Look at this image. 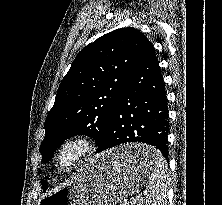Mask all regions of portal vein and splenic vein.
<instances>
[{"instance_id": "portal-vein-and-splenic-vein-1", "label": "portal vein and splenic vein", "mask_w": 222, "mask_h": 205, "mask_svg": "<svg viewBox=\"0 0 222 205\" xmlns=\"http://www.w3.org/2000/svg\"><path fill=\"white\" fill-rule=\"evenodd\" d=\"M136 201H137V199L133 197V198H132V202L135 204Z\"/></svg>"}]
</instances>
